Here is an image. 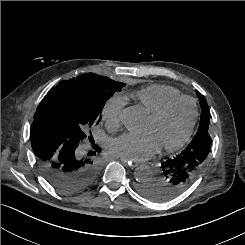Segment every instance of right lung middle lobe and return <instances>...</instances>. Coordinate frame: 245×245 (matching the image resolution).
Here are the masks:
<instances>
[{
  "label": "right lung middle lobe",
  "instance_id": "1",
  "mask_svg": "<svg viewBox=\"0 0 245 245\" xmlns=\"http://www.w3.org/2000/svg\"><path fill=\"white\" fill-rule=\"evenodd\" d=\"M125 83L86 73L53 87L40 103L39 116L76 142H83L88 129L101 120L106 101Z\"/></svg>",
  "mask_w": 245,
  "mask_h": 245
}]
</instances>
